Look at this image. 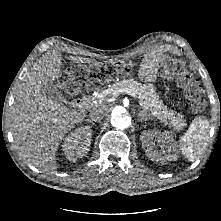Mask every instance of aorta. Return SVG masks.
Segmentation results:
<instances>
[{
  "label": "aorta",
  "mask_w": 221,
  "mask_h": 221,
  "mask_svg": "<svg viewBox=\"0 0 221 221\" xmlns=\"http://www.w3.org/2000/svg\"><path fill=\"white\" fill-rule=\"evenodd\" d=\"M111 125L120 130L127 129L131 125V117L123 107H115L112 111Z\"/></svg>",
  "instance_id": "obj_1"
}]
</instances>
